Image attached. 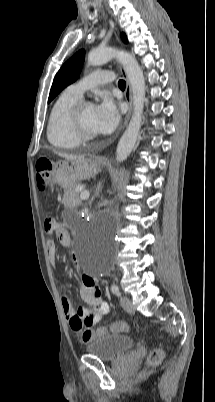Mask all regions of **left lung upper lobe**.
Listing matches in <instances>:
<instances>
[{
    "label": "left lung upper lobe",
    "mask_w": 215,
    "mask_h": 402,
    "mask_svg": "<svg viewBox=\"0 0 215 402\" xmlns=\"http://www.w3.org/2000/svg\"><path fill=\"white\" fill-rule=\"evenodd\" d=\"M121 38L125 43H127V38L124 33L121 34ZM84 57L85 51L82 49L63 64L54 78L48 103L51 102L65 87L78 79L84 62Z\"/></svg>",
    "instance_id": "5c2ea615"
}]
</instances>
